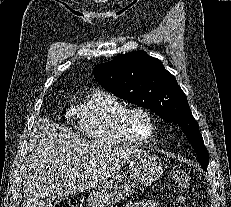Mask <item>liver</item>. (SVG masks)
I'll return each mask as SVG.
<instances>
[{
	"instance_id": "6515ba94",
	"label": "liver",
	"mask_w": 231,
	"mask_h": 207,
	"mask_svg": "<svg viewBox=\"0 0 231 207\" xmlns=\"http://www.w3.org/2000/svg\"><path fill=\"white\" fill-rule=\"evenodd\" d=\"M138 152L124 144L78 138L67 128L39 118L21 168L23 207H44L51 194L68 196L97 188Z\"/></svg>"
}]
</instances>
